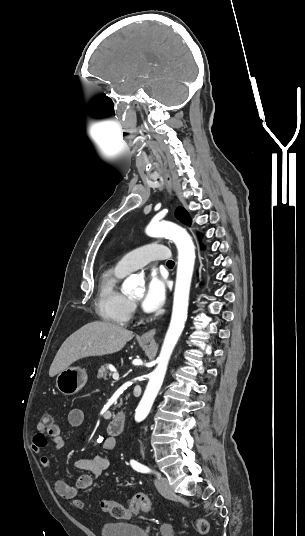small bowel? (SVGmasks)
Returning a JSON list of instances; mask_svg holds the SVG:
<instances>
[{
	"mask_svg": "<svg viewBox=\"0 0 305 536\" xmlns=\"http://www.w3.org/2000/svg\"><path fill=\"white\" fill-rule=\"evenodd\" d=\"M85 413L81 408H73L68 414V422L72 427H79L84 423ZM101 448L105 452H110L115 449L116 441L111 437H102L99 440ZM51 444L56 450L63 448L64 438L60 427H36V432L32 436L31 447L36 453L40 452L47 445ZM41 466L48 470L52 467V462L49 457L42 456L40 459ZM110 466V461L103 455H96L92 458H78L74 460L73 467L76 470L89 472L79 476L74 485H69L63 480L55 482V491L63 499L68 498V495H75L83 490L88 489L93 482L92 476H100Z\"/></svg>",
	"mask_w": 305,
	"mask_h": 536,
	"instance_id": "small-bowel-1",
	"label": "small bowel"
}]
</instances>
